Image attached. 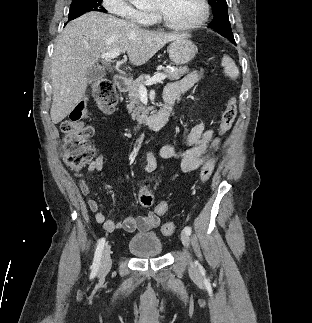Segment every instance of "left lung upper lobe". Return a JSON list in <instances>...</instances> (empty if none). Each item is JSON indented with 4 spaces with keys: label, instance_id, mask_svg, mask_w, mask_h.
Wrapping results in <instances>:
<instances>
[{
    "label": "left lung upper lobe",
    "instance_id": "5c2ea615",
    "mask_svg": "<svg viewBox=\"0 0 312 323\" xmlns=\"http://www.w3.org/2000/svg\"><path fill=\"white\" fill-rule=\"evenodd\" d=\"M208 1L214 11V18L211 21V23H209L208 27L212 28L213 30L223 35L224 37L228 38L229 40H234L229 18H228L226 0H208Z\"/></svg>",
    "mask_w": 312,
    "mask_h": 323
}]
</instances>
